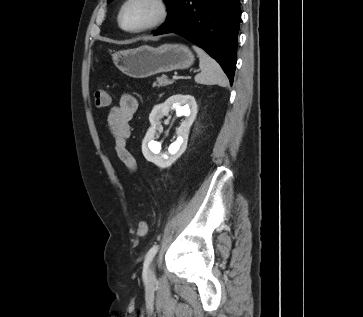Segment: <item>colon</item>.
<instances>
[{"instance_id": "obj_1", "label": "colon", "mask_w": 363, "mask_h": 317, "mask_svg": "<svg viewBox=\"0 0 363 317\" xmlns=\"http://www.w3.org/2000/svg\"><path fill=\"white\" fill-rule=\"evenodd\" d=\"M110 104V95L106 90H97L94 94V105L97 108H105ZM147 231V224L144 221H141L137 228L136 232L138 235H143Z\"/></svg>"}]
</instances>
